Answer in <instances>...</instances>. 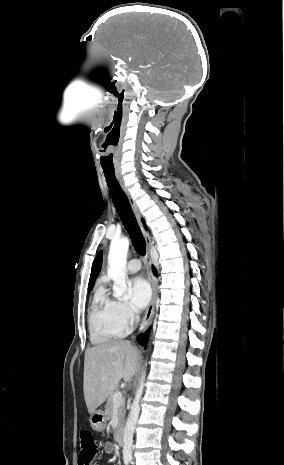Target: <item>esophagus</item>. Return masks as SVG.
Returning <instances> with one entry per match:
<instances>
[{
    "mask_svg": "<svg viewBox=\"0 0 284 465\" xmlns=\"http://www.w3.org/2000/svg\"><path fill=\"white\" fill-rule=\"evenodd\" d=\"M115 175L117 177V180H118L122 190H124V193L126 194L128 200L130 202L132 210H133L139 224L142 227L141 215H140L139 208L137 206L136 201L134 200V198L132 197V195L130 194L128 189L125 187L121 172L118 171V170H115ZM143 235L145 237V241H146V244H147V253H146L145 260H146V266H147L148 279H149V282H150L151 287H152V298H151V301H150V303H149V305H148V307L146 309L143 320H142V322H141V324L139 326V333L145 332V330H147L148 327L151 325V322H152V319H153V316H154V312H155L156 296H157V282H156V279H155V277L153 275V272H152L151 258H150V248H151L152 242H151V238H150L148 232H146V230H144V229H143Z\"/></svg>",
    "mask_w": 284,
    "mask_h": 465,
    "instance_id": "1",
    "label": "esophagus"
}]
</instances>
